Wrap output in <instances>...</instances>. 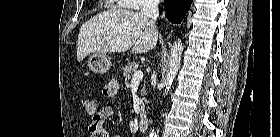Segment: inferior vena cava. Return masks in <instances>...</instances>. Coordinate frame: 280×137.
Here are the masks:
<instances>
[{
    "label": "inferior vena cava",
    "instance_id": "602c4592",
    "mask_svg": "<svg viewBox=\"0 0 280 137\" xmlns=\"http://www.w3.org/2000/svg\"><path fill=\"white\" fill-rule=\"evenodd\" d=\"M158 4L159 0H145L143 8L140 12L141 16L149 19V22L152 25H155L159 16Z\"/></svg>",
    "mask_w": 280,
    "mask_h": 137
}]
</instances>
